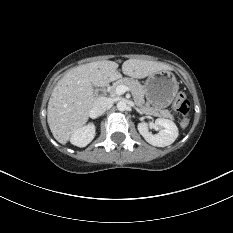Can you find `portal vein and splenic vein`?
<instances>
[{
	"label": "portal vein and splenic vein",
	"mask_w": 233,
	"mask_h": 233,
	"mask_svg": "<svg viewBox=\"0 0 233 233\" xmlns=\"http://www.w3.org/2000/svg\"><path fill=\"white\" fill-rule=\"evenodd\" d=\"M128 90H129L128 87H126V86H124V85H119V86L116 88L115 92H116L117 95H122V94H124V93H125L126 91H128Z\"/></svg>",
	"instance_id": "portal-vein-and-splenic-vein-1"
}]
</instances>
